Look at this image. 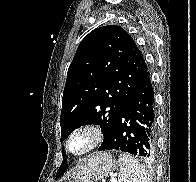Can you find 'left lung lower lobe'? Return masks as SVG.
I'll return each instance as SVG.
<instances>
[{"mask_svg": "<svg viewBox=\"0 0 196 182\" xmlns=\"http://www.w3.org/2000/svg\"><path fill=\"white\" fill-rule=\"evenodd\" d=\"M154 91L150 74L121 106L112 131L98 151L121 150L130 154L152 158L155 153Z\"/></svg>", "mask_w": 196, "mask_h": 182, "instance_id": "left-lung-lower-lobe-1", "label": "left lung lower lobe"}]
</instances>
